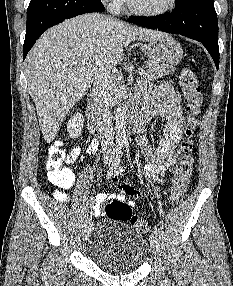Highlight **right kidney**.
<instances>
[{
    "label": "right kidney",
    "mask_w": 233,
    "mask_h": 286,
    "mask_svg": "<svg viewBox=\"0 0 233 286\" xmlns=\"http://www.w3.org/2000/svg\"><path fill=\"white\" fill-rule=\"evenodd\" d=\"M83 116L80 113H76L67 124V131L70 138H77L82 133L83 128Z\"/></svg>",
    "instance_id": "right-kidney-1"
}]
</instances>
